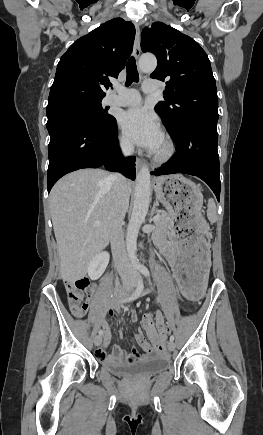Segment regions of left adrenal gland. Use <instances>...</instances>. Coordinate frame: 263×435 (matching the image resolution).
Wrapping results in <instances>:
<instances>
[{
    "label": "left adrenal gland",
    "instance_id": "left-adrenal-gland-1",
    "mask_svg": "<svg viewBox=\"0 0 263 435\" xmlns=\"http://www.w3.org/2000/svg\"><path fill=\"white\" fill-rule=\"evenodd\" d=\"M156 210V204L153 205L152 211H151V217L154 215V212ZM152 221V218L150 219Z\"/></svg>",
    "mask_w": 263,
    "mask_h": 435
}]
</instances>
